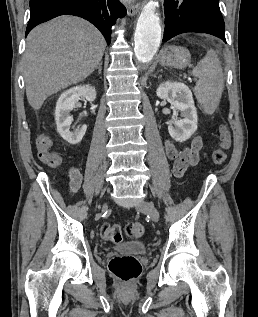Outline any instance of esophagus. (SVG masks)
I'll use <instances>...</instances> for the list:
<instances>
[{
    "instance_id": "34e87169",
    "label": "esophagus",
    "mask_w": 258,
    "mask_h": 317,
    "mask_svg": "<svg viewBox=\"0 0 258 317\" xmlns=\"http://www.w3.org/2000/svg\"><path fill=\"white\" fill-rule=\"evenodd\" d=\"M140 10H141V5H140V3L128 4V5H127V13H128V15H130V16L136 15Z\"/></svg>"
}]
</instances>
